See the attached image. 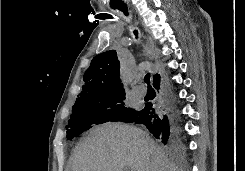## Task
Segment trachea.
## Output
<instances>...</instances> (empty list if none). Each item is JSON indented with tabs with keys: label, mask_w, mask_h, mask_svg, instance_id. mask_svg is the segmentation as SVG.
Returning <instances> with one entry per match:
<instances>
[{
	"label": "trachea",
	"mask_w": 245,
	"mask_h": 171,
	"mask_svg": "<svg viewBox=\"0 0 245 171\" xmlns=\"http://www.w3.org/2000/svg\"><path fill=\"white\" fill-rule=\"evenodd\" d=\"M116 1H120V2H116L114 5H112L113 9H118L120 11H122L126 16H128V10H127V6L124 2H122L121 0H116ZM134 34L137 35V31H134ZM144 81L150 85V73L146 74L144 77Z\"/></svg>",
	"instance_id": "trachea-1"
}]
</instances>
